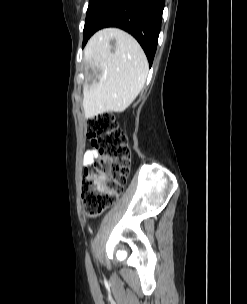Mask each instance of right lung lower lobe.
Instances as JSON below:
<instances>
[{"mask_svg":"<svg viewBox=\"0 0 247 304\" xmlns=\"http://www.w3.org/2000/svg\"><path fill=\"white\" fill-rule=\"evenodd\" d=\"M163 9L164 0H97L86 16L82 47L97 30L118 27L136 38L151 66Z\"/></svg>","mask_w":247,"mask_h":304,"instance_id":"98d812e1","label":"right lung lower lobe"}]
</instances>
